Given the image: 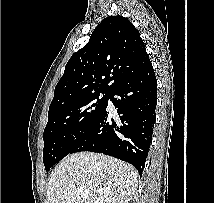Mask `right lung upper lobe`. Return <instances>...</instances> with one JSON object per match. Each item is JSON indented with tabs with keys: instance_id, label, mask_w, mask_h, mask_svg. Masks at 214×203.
<instances>
[{
	"instance_id": "right-lung-upper-lobe-1",
	"label": "right lung upper lobe",
	"mask_w": 214,
	"mask_h": 203,
	"mask_svg": "<svg viewBox=\"0 0 214 203\" xmlns=\"http://www.w3.org/2000/svg\"><path fill=\"white\" fill-rule=\"evenodd\" d=\"M150 65L145 44L135 26L125 17L109 16L67 62L49 111L94 93H108Z\"/></svg>"
}]
</instances>
